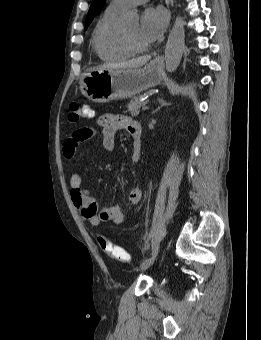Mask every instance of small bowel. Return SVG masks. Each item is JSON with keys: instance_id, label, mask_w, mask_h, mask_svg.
Returning a JSON list of instances; mask_svg holds the SVG:
<instances>
[{"instance_id": "obj_1", "label": "small bowel", "mask_w": 261, "mask_h": 340, "mask_svg": "<svg viewBox=\"0 0 261 340\" xmlns=\"http://www.w3.org/2000/svg\"><path fill=\"white\" fill-rule=\"evenodd\" d=\"M101 132V144L104 149L113 151L115 135L120 129H126L132 138V160L137 163L141 152V127L137 121L123 115L103 114L97 120ZM97 130L92 127H82L72 133L63 144V155L67 159L74 157L78 145L93 138ZM71 199L79 216L91 226H98L101 222L111 221L115 224L124 222L131 206H137L142 197L139 187L133 188L128 196L129 206H111L99 208L98 202L91 190L84 187L80 174L73 173L70 178Z\"/></svg>"}]
</instances>
